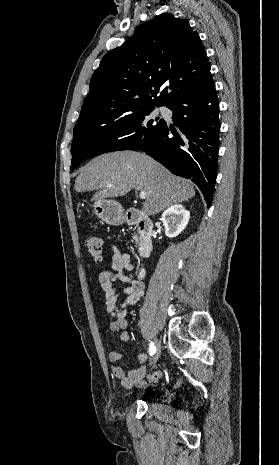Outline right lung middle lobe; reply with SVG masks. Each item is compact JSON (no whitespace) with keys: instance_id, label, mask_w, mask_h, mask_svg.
<instances>
[{"instance_id":"1","label":"right lung middle lobe","mask_w":279,"mask_h":465,"mask_svg":"<svg viewBox=\"0 0 279 465\" xmlns=\"http://www.w3.org/2000/svg\"><path fill=\"white\" fill-rule=\"evenodd\" d=\"M153 110L154 107L139 109L102 125L75 126L71 169L77 168L87 157L153 141L166 125L165 120L150 116Z\"/></svg>"}]
</instances>
